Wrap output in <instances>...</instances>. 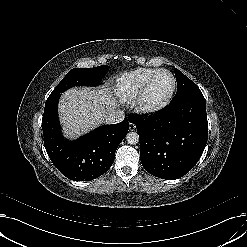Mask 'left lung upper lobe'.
Returning <instances> with one entry per match:
<instances>
[{"instance_id": "1", "label": "left lung upper lobe", "mask_w": 247, "mask_h": 247, "mask_svg": "<svg viewBox=\"0 0 247 247\" xmlns=\"http://www.w3.org/2000/svg\"><path fill=\"white\" fill-rule=\"evenodd\" d=\"M177 92L171 102H177L191 95L201 93L198 86L178 69H175Z\"/></svg>"}]
</instances>
